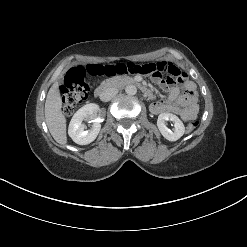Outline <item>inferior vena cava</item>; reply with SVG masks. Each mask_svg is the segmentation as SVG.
I'll return each mask as SVG.
<instances>
[{
  "instance_id": "602c4592",
  "label": "inferior vena cava",
  "mask_w": 247,
  "mask_h": 247,
  "mask_svg": "<svg viewBox=\"0 0 247 247\" xmlns=\"http://www.w3.org/2000/svg\"><path fill=\"white\" fill-rule=\"evenodd\" d=\"M117 93H118L117 88H107V89L102 91V93L100 95V99L102 101L107 102V101L111 100Z\"/></svg>"
}]
</instances>
